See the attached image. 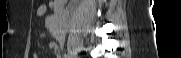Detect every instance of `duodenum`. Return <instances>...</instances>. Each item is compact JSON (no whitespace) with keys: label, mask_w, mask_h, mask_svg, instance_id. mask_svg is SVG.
Listing matches in <instances>:
<instances>
[{"label":"duodenum","mask_w":181,"mask_h":58,"mask_svg":"<svg viewBox=\"0 0 181 58\" xmlns=\"http://www.w3.org/2000/svg\"><path fill=\"white\" fill-rule=\"evenodd\" d=\"M76 2V0L73 1V4H75ZM54 5L58 12H63L65 10L66 0H55Z\"/></svg>","instance_id":"410a0bca"}]
</instances>
